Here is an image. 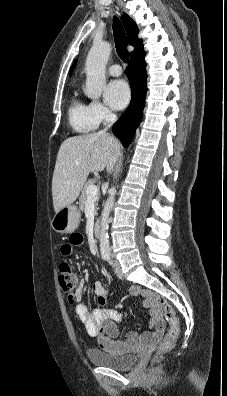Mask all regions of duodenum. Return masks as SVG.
I'll return each instance as SVG.
<instances>
[{"label":"duodenum","mask_w":227,"mask_h":396,"mask_svg":"<svg viewBox=\"0 0 227 396\" xmlns=\"http://www.w3.org/2000/svg\"><path fill=\"white\" fill-rule=\"evenodd\" d=\"M93 234L95 237H100L101 235V225L99 222H95L94 226H93Z\"/></svg>","instance_id":"duodenum-1"}]
</instances>
